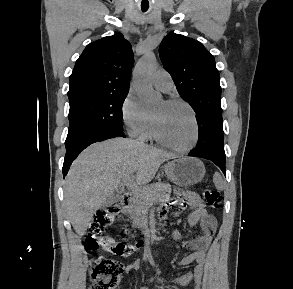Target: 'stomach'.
<instances>
[{
	"label": "stomach",
	"instance_id": "0dacf381",
	"mask_svg": "<svg viewBox=\"0 0 293 289\" xmlns=\"http://www.w3.org/2000/svg\"><path fill=\"white\" fill-rule=\"evenodd\" d=\"M168 178L179 186H192L202 181L205 166L201 160L193 157L176 158L164 166Z\"/></svg>",
	"mask_w": 293,
	"mask_h": 289
}]
</instances>
